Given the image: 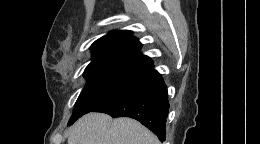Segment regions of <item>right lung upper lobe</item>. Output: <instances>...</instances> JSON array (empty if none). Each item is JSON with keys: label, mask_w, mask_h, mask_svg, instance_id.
I'll return each instance as SVG.
<instances>
[{"label": "right lung upper lobe", "mask_w": 260, "mask_h": 144, "mask_svg": "<svg viewBox=\"0 0 260 144\" xmlns=\"http://www.w3.org/2000/svg\"><path fill=\"white\" fill-rule=\"evenodd\" d=\"M141 43L131 31L116 30L96 40L92 46L89 68H109L139 72L152 65L151 59L142 55Z\"/></svg>", "instance_id": "cb5924a9"}]
</instances>
